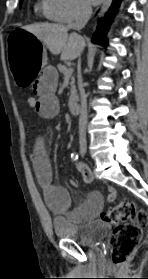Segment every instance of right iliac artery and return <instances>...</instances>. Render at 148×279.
I'll return each instance as SVG.
<instances>
[{"label": "right iliac artery", "mask_w": 148, "mask_h": 279, "mask_svg": "<svg viewBox=\"0 0 148 279\" xmlns=\"http://www.w3.org/2000/svg\"><path fill=\"white\" fill-rule=\"evenodd\" d=\"M79 157V155L77 153H72L71 154V158L74 159V160H77Z\"/></svg>", "instance_id": "82829eb1"}]
</instances>
